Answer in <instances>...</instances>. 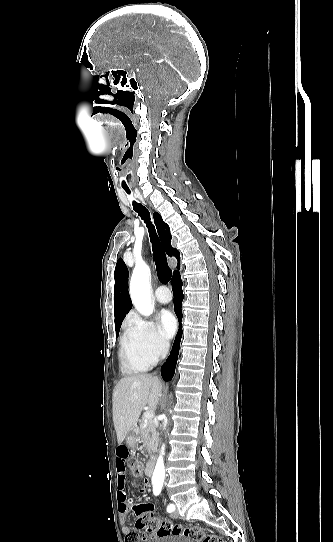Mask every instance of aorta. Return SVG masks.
Listing matches in <instances>:
<instances>
[{"instance_id":"aorta-1","label":"aorta","mask_w":333,"mask_h":542,"mask_svg":"<svg viewBox=\"0 0 333 542\" xmlns=\"http://www.w3.org/2000/svg\"><path fill=\"white\" fill-rule=\"evenodd\" d=\"M130 298L139 314H142V316H151L153 314L155 304L151 294L150 270L146 264L136 266L133 270L130 282ZM163 420H165L164 426H166L167 420L165 416H163ZM163 452L164 448H162L161 454ZM164 480L165 466L163 458L160 456L157 460L151 482L154 488H162Z\"/></svg>"}]
</instances>
